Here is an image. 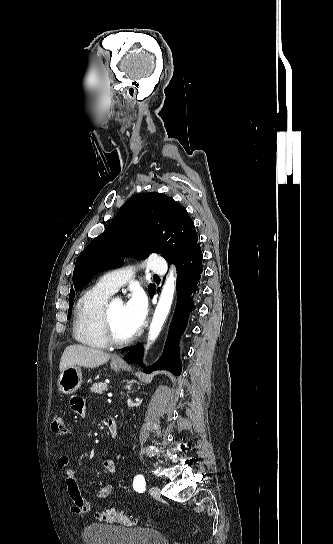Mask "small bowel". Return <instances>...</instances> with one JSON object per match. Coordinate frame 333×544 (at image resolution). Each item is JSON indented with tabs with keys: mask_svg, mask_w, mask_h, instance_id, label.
<instances>
[{
	"mask_svg": "<svg viewBox=\"0 0 333 544\" xmlns=\"http://www.w3.org/2000/svg\"><path fill=\"white\" fill-rule=\"evenodd\" d=\"M70 406L72 411L80 416L85 417L86 415V406L85 402L81 397L74 396L70 400ZM116 425V422H115ZM117 428V426H116ZM58 467L64 471L65 474V484L67 488V492L69 495V498L72 502L71 505V512L75 515H82L85 513H88L90 511V503L88 500L82 495L80 488L77 483V479L75 476V471L71 468H69V459L66 456H61L58 459ZM102 467L105 472L109 474H113L117 471V465L114 460H112L109 457H106L102 461ZM113 492V485L106 484L102 486L98 492L97 497L99 499H105L109 497Z\"/></svg>",
	"mask_w": 333,
	"mask_h": 544,
	"instance_id": "1",
	"label": "small bowel"
}]
</instances>
